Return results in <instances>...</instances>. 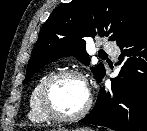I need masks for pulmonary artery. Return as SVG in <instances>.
Wrapping results in <instances>:
<instances>
[{
	"instance_id": "e3ab8cb5",
	"label": "pulmonary artery",
	"mask_w": 147,
	"mask_h": 131,
	"mask_svg": "<svg viewBox=\"0 0 147 131\" xmlns=\"http://www.w3.org/2000/svg\"><path fill=\"white\" fill-rule=\"evenodd\" d=\"M104 51L110 53L111 55H115L117 53V46L112 43H105L103 45Z\"/></svg>"
}]
</instances>
